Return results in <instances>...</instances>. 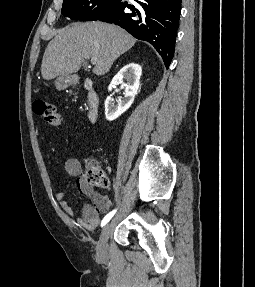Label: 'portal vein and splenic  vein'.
Returning a JSON list of instances; mask_svg holds the SVG:
<instances>
[{
	"mask_svg": "<svg viewBox=\"0 0 255 287\" xmlns=\"http://www.w3.org/2000/svg\"><path fill=\"white\" fill-rule=\"evenodd\" d=\"M98 58H91V64H97Z\"/></svg>",
	"mask_w": 255,
	"mask_h": 287,
	"instance_id": "1",
	"label": "portal vein and splenic vein"
}]
</instances>
